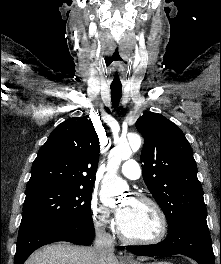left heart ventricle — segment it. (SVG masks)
Listing matches in <instances>:
<instances>
[{
  "instance_id": "1",
  "label": "left heart ventricle",
  "mask_w": 221,
  "mask_h": 264,
  "mask_svg": "<svg viewBox=\"0 0 221 264\" xmlns=\"http://www.w3.org/2000/svg\"><path fill=\"white\" fill-rule=\"evenodd\" d=\"M123 206L128 207L129 212L120 225L127 236L135 239H150L158 234L159 219L150 205L128 199Z\"/></svg>"
}]
</instances>
